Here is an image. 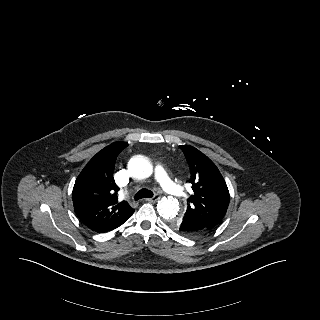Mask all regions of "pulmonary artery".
I'll use <instances>...</instances> for the list:
<instances>
[{
    "instance_id": "obj_1",
    "label": "pulmonary artery",
    "mask_w": 320,
    "mask_h": 320,
    "mask_svg": "<svg viewBox=\"0 0 320 320\" xmlns=\"http://www.w3.org/2000/svg\"><path fill=\"white\" fill-rule=\"evenodd\" d=\"M154 175L155 179L158 181V183L162 186V188L177 197H181L183 195L182 190L179 186H177L168 176L165 169L158 165L154 169Z\"/></svg>"
}]
</instances>
